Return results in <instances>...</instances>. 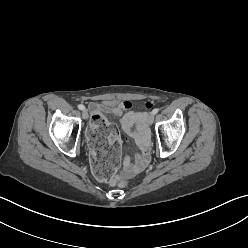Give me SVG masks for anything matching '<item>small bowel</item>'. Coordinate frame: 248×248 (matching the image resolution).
<instances>
[{"label":"small bowel","instance_id":"1","mask_svg":"<svg viewBox=\"0 0 248 248\" xmlns=\"http://www.w3.org/2000/svg\"><path fill=\"white\" fill-rule=\"evenodd\" d=\"M91 109L103 110L108 114L120 118V125L124 133L132 138L138 149L134 161L126 156L123 161V172L127 176H133L142 171L149 161V135L147 129V114L142 111L130 110L131 102L116 103L108 100L101 104L92 103ZM112 138L116 136L112 135ZM111 138V139H112Z\"/></svg>","mask_w":248,"mask_h":248}]
</instances>
